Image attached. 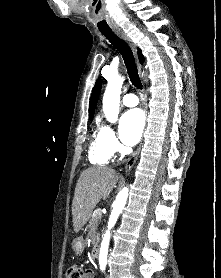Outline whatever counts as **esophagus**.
<instances>
[{
    "instance_id": "1",
    "label": "esophagus",
    "mask_w": 221,
    "mask_h": 278,
    "mask_svg": "<svg viewBox=\"0 0 221 278\" xmlns=\"http://www.w3.org/2000/svg\"><path fill=\"white\" fill-rule=\"evenodd\" d=\"M114 32L120 36L124 41H126L134 50L135 54H136V50L133 46V44L131 43L130 39L128 38V36L120 29H115ZM139 67V71L141 72V65L138 64ZM141 150V144L137 147V149L135 150V152L132 154V156L128 159L126 165H125V171H129L133 165L135 164V162L137 161V158L139 156Z\"/></svg>"
}]
</instances>
